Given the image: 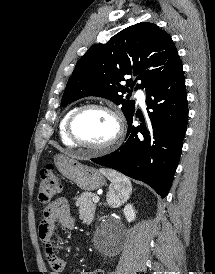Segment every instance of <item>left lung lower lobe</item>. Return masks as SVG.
<instances>
[{
  "label": "left lung lower lobe",
  "instance_id": "0a47b994",
  "mask_svg": "<svg viewBox=\"0 0 215 274\" xmlns=\"http://www.w3.org/2000/svg\"><path fill=\"white\" fill-rule=\"evenodd\" d=\"M148 120L135 127L127 118L126 142L116 151L91 159L150 185L167 196L177 168L188 121L187 93L181 66L163 82L149 86ZM137 116V114H136Z\"/></svg>",
  "mask_w": 215,
  "mask_h": 274
}]
</instances>
